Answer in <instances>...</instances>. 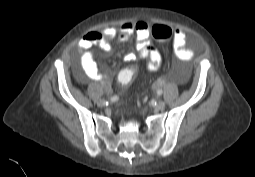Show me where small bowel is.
I'll return each mask as SVG.
<instances>
[{
  "instance_id": "small-bowel-1",
  "label": "small bowel",
  "mask_w": 255,
  "mask_h": 177,
  "mask_svg": "<svg viewBox=\"0 0 255 177\" xmlns=\"http://www.w3.org/2000/svg\"><path fill=\"white\" fill-rule=\"evenodd\" d=\"M135 36L137 54L127 53L124 57L126 62H134L137 58L147 60V69L150 72L157 71L162 62L160 53L151 46L150 26L146 21L125 22L119 29L113 26L105 27L101 32H90L86 34L78 43V53L80 56V67L82 72L95 81L107 80V75L101 72L94 59L92 47L98 45L104 51L111 49L109 40L118 37L121 41H126L129 37ZM186 34L181 29H175L173 34V47L176 57L183 61H189L193 53L185 48ZM78 79L83 78L78 70L75 71ZM109 89V86L106 87Z\"/></svg>"
}]
</instances>
